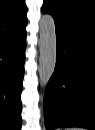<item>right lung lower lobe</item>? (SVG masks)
I'll list each match as a JSON object with an SVG mask.
<instances>
[{
	"instance_id": "1",
	"label": "right lung lower lobe",
	"mask_w": 95,
	"mask_h": 130,
	"mask_svg": "<svg viewBox=\"0 0 95 130\" xmlns=\"http://www.w3.org/2000/svg\"><path fill=\"white\" fill-rule=\"evenodd\" d=\"M25 48L26 31L0 41V126L3 129H21Z\"/></svg>"
}]
</instances>
